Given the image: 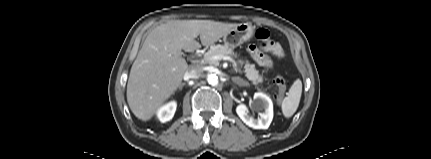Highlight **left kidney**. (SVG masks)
<instances>
[{"label":"left kidney","instance_id":"left-kidney-1","mask_svg":"<svg viewBox=\"0 0 431 159\" xmlns=\"http://www.w3.org/2000/svg\"><path fill=\"white\" fill-rule=\"evenodd\" d=\"M255 110L259 111L260 118L255 119L249 114L248 108L244 104H240L236 108V113L241 120L254 129H267L273 119V103L272 100L264 93L257 92L254 94Z\"/></svg>","mask_w":431,"mask_h":159}]
</instances>
